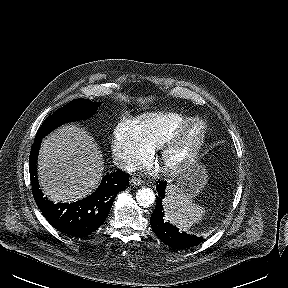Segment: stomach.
<instances>
[{
    "label": "stomach",
    "instance_id": "stomach-1",
    "mask_svg": "<svg viewBox=\"0 0 288 288\" xmlns=\"http://www.w3.org/2000/svg\"><path fill=\"white\" fill-rule=\"evenodd\" d=\"M207 182L208 174L205 167L197 163L182 173L169 188L176 194L192 199L201 193Z\"/></svg>",
    "mask_w": 288,
    "mask_h": 288
}]
</instances>
